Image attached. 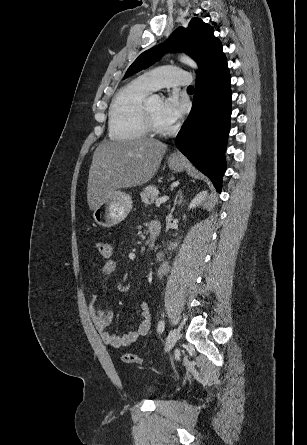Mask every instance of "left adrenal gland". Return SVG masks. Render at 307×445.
<instances>
[{
	"instance_id": "1",
	"label": "left adrenal gland",
	"mask_w": 307,
	"mask_h": 445,
	"mask_svg": "<svg viewBox=\"0 0 307 445\" xmlns=\"http://www.w3.org/2000/svg\"><path fill=\"white\" fill-rule=\"evenodd\" d=\"M179 192H180V198H179V200H178V204H181L183 196H182V192H181V190H179Z\"/></svg>"
}]
</instances>
